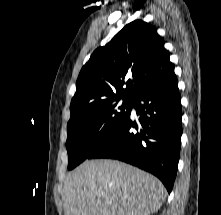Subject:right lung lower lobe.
<instances>
[{"mask_svg":"<svg viewBox=\"0 0 221 215\" xmlns=\"http://www.w3.org/2000/svg\"><path fill=\"white\" fill-rule=\"evenodd\" d=\"M139 119L129 114L87 157L117 159L157 176L170 193L176 178L182 135L181 97L173 73L144 89L132 101Z\"/></svg>","mask_w":221,"mask_h":215,"instance_id":"obj_1","label":"right lung lower lobe"}]
</instances>
